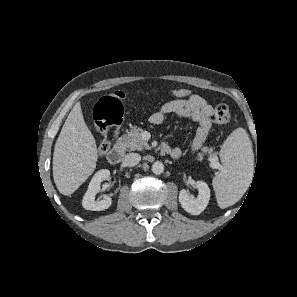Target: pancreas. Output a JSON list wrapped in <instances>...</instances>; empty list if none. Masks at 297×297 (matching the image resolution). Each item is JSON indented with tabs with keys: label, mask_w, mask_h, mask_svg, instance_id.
I'll list each match as a JSON object with an SVG mask.
<instances>
[{
	"label": "pancreas",
	"mask_w": 297,
	"mask_h": 297,
	"mask_svg": "<svg viewBox=\"0 0 297 297\" xmlns=\"http://www.w3.org/2000/svg\"><path fill=\"white\" fill-rule=\"evenodd\" d=\"M141 133V128L134 127L130 132L118 138L117 145L129 151L150 149L149 144L141 138Z\"/></svg>",
	"instance_id": "1"
}]
</instances>
